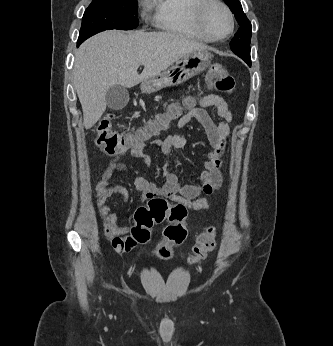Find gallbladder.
Segmentation results:
<instances>
[{
    "label": "gallbladder",
    "instance_id": "gallbladder-1",
    "mask_svg": "<svg viewBox=\"0 0 333 346\" xmlns=\"http://www.w3.org/2000/svg\"><path fill=\"white\" fill-rule=\"evenodd\" d=\"M105 101L110 109L121 110L128 104V90L121 85L112 86L106 92Z\"/></svg>",
    "mask_w": 333,
    "mask_h": 346
}]
</instances>
